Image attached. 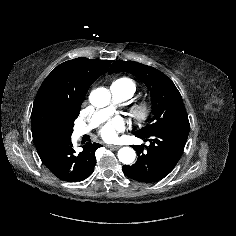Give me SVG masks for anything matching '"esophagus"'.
<instances>
[{
  "label": "esophagus",
  "instance_id": "esophagus-1",
  "mask_svg": "<svg viewBox=\"0 0 236 236\" xmlns=\"http://www.w3.org/2000/svg\"><path fill=\"white\" fill-rule=\"evenodd\" d=\"M108 148H112V149H119L120 146L119 145H108Z\"/></svg>",
  "mask_w": 236,
  "mask_h": 236
}]
</instances>
